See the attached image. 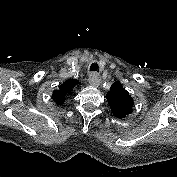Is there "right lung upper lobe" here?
Wrapping results in <instances>:
<instances>
[{
	"instance_id": "1",
	"label": "right lung upper lobe",
	"mask_w": 177,
	"mask_h": 177,
	"mask_svg": "<svg viewBox=\"0 0 177 177\" xmlns=\"http://www.w3.org/2000/svg\"><path fill=\"white\" fill-rule=\"evenodd\" d=\"M79 83V81L75 79H69L65 83H63L59 90H55L53 92V97L56 99V102L58 104L62 103L64 101V97L67 93H70L72 88L76 86Z\"/></svg>"
}]
</instances>
